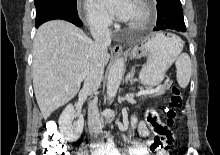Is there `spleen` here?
<instances>
[{
    "label": "spleen",
    "instance_id": "3e777b00",
    "mask_svg": "<svg viewBox=\"0 0 220 155\" xmlns=\"http://www.w3.org/2000/svg\"><path fill=\"white\" fill-rule=\"evenodd\" d=\"M177 82L181 88H186L192 74V62L188 54L182 53L175 62Z\"/></svg>",
    "mask_w": 220,
    "mask_h": 155
}]
</instances>
